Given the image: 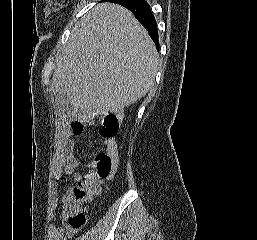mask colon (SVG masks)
Masks as SVG:
<instances>
[{
  "mask_svg": "<svg viewBox=\"0 0 257 240\" xmlns=\"http://www.w3.org/2000/svg\"><path fill=\"white\" fill-rule=\"evenodd\" d=\"M92 119L99 127L101 140L111 139L117 133L119 128L117 115L110 112H98L93 115ZM69 129L74 133H81L83 125L80 122H72ZM115 162L116 160L108 152H98L92 161L90 171L81 178L65 199L63 214L67 226L72 230L77 231L85 226L87 217L80 210V205L96 195L101 185L113 175Z\"/></svg>",
  "mask_w": 257,
  "mask_h": 240,
  "instance_id": "colon-1",
  "label": "colon"
}]
</instances>
